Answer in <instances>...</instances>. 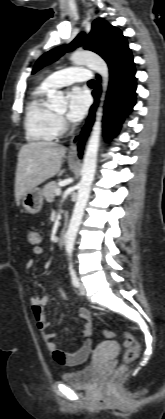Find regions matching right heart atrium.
Here are the masks:
<instances>
[{
	"label": "right heart atrium",
	"mask_w": 165,
	"mask_h": 419,
	"mask_svg": "<svg viewBox=\"0 0 165 419\" xmlns=\"http://www.w3.org/2000/svg\"><path fill=\"white\" fill-rule=\"evenodd\" d=\"M56 122H57V126L59 128V131H63L67 127V122L63 118V116H61V115L56 116Z\"/></svg>",
	"instance_id": "d8ad5b80"
}]
</instances>
